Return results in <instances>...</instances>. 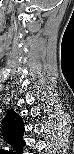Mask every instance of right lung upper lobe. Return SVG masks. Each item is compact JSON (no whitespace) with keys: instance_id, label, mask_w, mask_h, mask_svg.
Listing matches in <instances>:
<instances>
[{"instance_id":"right-lung-upper-lobe-1","label":"right lung upper lobe","mask_w":74,"mask_h":154,"mask_svg":"<svg viewBox=\"0 0 74 154\" xmlns=\"http://www.w3.org/2000/svg\"><path fill=\"white\" fill-rule=\"evenodd\" d=\"M5 120L10 125V127H17L18 132H22V119L13 109L8 112Z\"/></svg>"}]
</instances>
